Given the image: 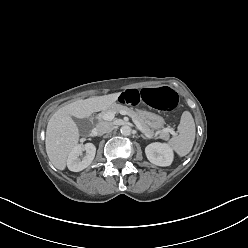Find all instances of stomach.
Wrapping results in <instances>:
<instances>
[{
	"label": "stomach",
	"instance_id": "0dacf381",
	"mask_svg": "<svg viewBox=\"0 0 248 248\" xmlns=\"http://www.w3.org/2000/svg\"><path fill=\"white\" fill-rule=\"evenodd\" d=\"M140 118L152 129L157 130L163 127L164 119L154 113L140 110L137 112Z\"/></svg>",
	"mask_w": 248,
	"mask_h": 248
}]
</instances>
